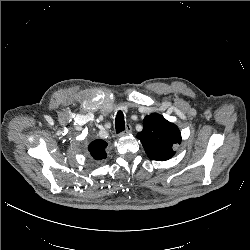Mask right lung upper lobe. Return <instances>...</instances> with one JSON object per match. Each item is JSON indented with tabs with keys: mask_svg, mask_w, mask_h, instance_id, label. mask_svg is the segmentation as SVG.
Segmentation results:
<instances>
[{
	"mask_svg": "<svg viewBox=\"0 0 250 250\" xmlns=\"http://www.w3.org/2000/svg\"><path fill=\"white\" fill-rule=\"evenodd\" d=\"M107 146V143L103 140H94L92 141L89 146H88V150L91 154V156L95 159V160H102L105 159L107 154L105 152V148Z\"/></svg>",
	"mask_w": 250,
	"mask_h": 250,
	"instance_id": "right-lung-upper-lobe-1",
	"label": "right lung upper lobe"
}]
</instances>
